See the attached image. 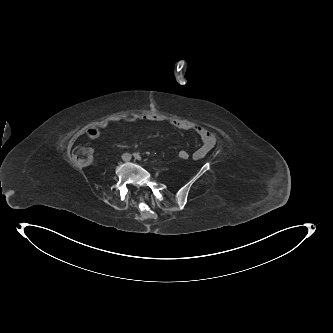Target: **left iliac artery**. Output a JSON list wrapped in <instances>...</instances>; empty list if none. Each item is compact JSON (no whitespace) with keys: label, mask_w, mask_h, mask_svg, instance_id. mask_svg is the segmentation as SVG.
<instances>
[{"label":"left iliac artery","mask_w":333,"mask_h":333,"mask_svg":"<svg viewBox=\"0 0 333 333\" xmlns=\"http://www.w3.org/2000/svg\"><path fill=\"white\" fill-rule=\"evenodd\" d=\"M134 157H135L136 159H140V156H139L138 153H134Z\"/></svg>","instance_id":"left-iliac-artery-1"}]
</instances>
